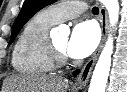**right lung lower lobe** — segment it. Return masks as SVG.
Returning a JSON list of instances; mask_svg holds the SVG:
<instances>
[{"instance_id":"obj_1","label":"right lung lower lobe","mask_w":127,"mask_h":92,"mask_svg":"<svg viewBox=\"0 0 127 92\" xmlns=\"http://www.w3.org/2000/svg\"><path fill=\"white\" fill-rule=\"evenodd\" d=\"M77 73H78V71H75V72H74V75H76Z\"/></svg>"}]
</instances>
